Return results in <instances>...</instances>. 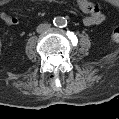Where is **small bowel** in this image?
I'll return each instance as SVG.
<instances>
[{
  "label": "small bowel",
  "mask_w": 119,
  "mask_h": 119,
  "mask_svg": "<svg viewBox=\"0 0 119 119\" xmlns=\"http://www.w3.org/2000/svg\"><path fill=\"white\" fill-rule=\"evenodd\" d=\"M78 6L83 12L87 13V16L83 19V23L86 26L99 25L105 20V16L99 4L89 0H78ZM0 17L7 25L19 24V19L17 17L6 12H1Z\"/></svg>",
  "instance_id": "1"
}]
</instances>
